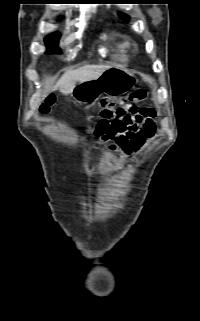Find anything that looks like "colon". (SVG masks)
<instances>
[{"mask_svg": "<svg viewBox=\"0 0 200 321\" xmlns=\"http://www.w3.org/2000/svg\"><path fill=\"white\" fill-rule=\"evenodd\" d=\"M145 98L144 91H135L128 97L122 100H114L105 98L101 100L99 117L105 121H115L130 112H141L145 108L138 105ZM54 104V99L48 97L40 107L42 113L49 111L50 107Z\"/></svg>", "mask_w": 200, "mask_h": 321, "instance_id": "1", "label": "colon"}]
</instances>
